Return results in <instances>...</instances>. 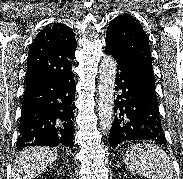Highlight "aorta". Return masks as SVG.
Masks as SVG:
<instances>
[{"instance_id": "1", "label": "aorta", "mask_w": 183, "mask_h": 179, "mask_svg": "<svg viewBox=\"0 0 183 179\" xmlns=\"http://www.w3.org/2000/svg\"><path fill=\"white\" fill-rule=\"evenodd\" d=\"M116 62L105 56L99 67L98 110L100 126L104 133L110 131L114 120V87Z\"/></svg>"}]
</instances>
